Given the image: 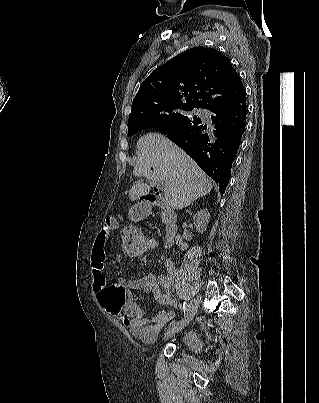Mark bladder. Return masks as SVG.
Listing matches in <instances>:
<instances>
[{
    "label": "bladder",
    "instance_id": "obj_1",
    "mask_svg": "<svg viewBox=\"0 0 319 403\" xmlns=\"http://www.w3.org/2000/svg\"><path fill=\"white\" fill-rule=\"evenodd\" d=\"M180 331L181 330L175 332L174 328L173 330H169L167 332V335L175 336L177 344L181 349L189 352L194 356H197L200 351V342H201L200 331L198 330H187L183 332Z\"/></svg>",
    "mask_w": 319,
    "mask_h": 403
}]
</instances>
